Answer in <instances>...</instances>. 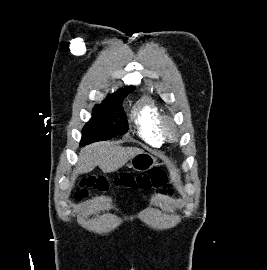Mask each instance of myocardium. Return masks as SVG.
I'll use <instances>...</instances> for the list:
<instances>
[{
    "instance_id": "myocardium-1",
    "label": "myocardium",
    "mask_w": 267,
    "mask_h": 270,
    "mask_svg": "<svg viewBox=\"0 0 267 270\" xmlns=\"http://www.w3.org/2000/svg\"><path fill=\"white\" fill-rule=\"evenodd\" d=\"M159 129L163 139L167 141H175L179 137V130L174 120L167 115H161L159 121Z\"/></svg>"
}]
</instances>
